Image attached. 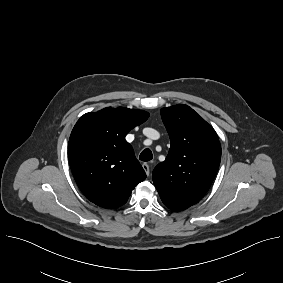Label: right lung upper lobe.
<instances>
[{
    "label": "right lung upper lobe",
    "mask_w": 283,
    "mask_h": 283,
    "mask_svg": "<svg viewBox=\"0 0 283 283\" xmlns=\"http://www.w3.org/2000/svg\"><path fill=\"white\" fill-rule=\"evenodd\" d=\"M148 117L146 111L108 107L84 114L75 124L68 145L70 167L80 190L94 204L120 207L145 180L125 136Z\"/></svg>",
    "instance_id": "obj_1"
}]
</instances>
